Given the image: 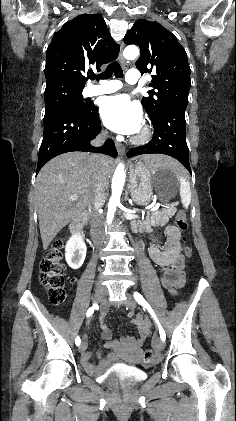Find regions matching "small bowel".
I'll return each instance as SVG.
<instances>
[{
    "mask_svg": "<svg viewBox=\"0 0 236 421\" xmlns=\"http://www.w3.org/2000/svg\"><path fill=\"white\" fill-rule=\"evenodd\" d=\"M165 232L167 236L169 237L170 242L174 243L177 246L178 250L180 251L181 250V243H180L181 234H180L179 229L173 225H170L166 228ZM72 282H74V280H72ZM138 325H139L141 337L142 339H144L149 333V325L143 321H140ZM84 355L89 356V353H85Z\"/></svg>",
    "mask_w": 236,
    "mask_h": 421,
    "instance_id": "small-bowel-1",
    "label": "small bowel"
}]
</instances>
